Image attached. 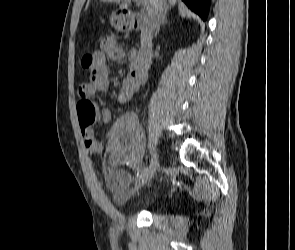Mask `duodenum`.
I'll return each mask as SVG.
<instances>
[{"label": "duodenum", "instance_id": "410a0bca", "mask_svg": "<svg viewBox=\"0 0 295 250\" xmlns=\"http://www.w3.org/2000/svg\"><path fill=\"white\" fill-rule=\"evenodd\" d=\"M122 20L128 22L131 29L142 31L145 34L142 54L135 58L133 72L136 78L143 82L147 78L148 59L152 51V38L155 32V25L152 20L143 13L122 10Z\"/></svg>", "mask_w": 295, "mask_h": 250}]
</instances>
